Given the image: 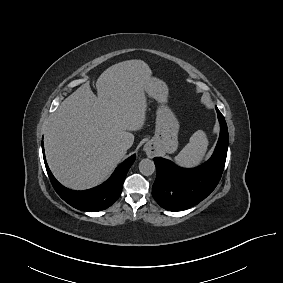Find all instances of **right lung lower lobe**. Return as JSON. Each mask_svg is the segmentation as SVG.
Returning <instances> with one entry per match:
<instances>
[{
    "mask_svg": "<svg viewBox=\"0 0 283 283\" xmlns=\"http://www.w3.org/2000/svg\"><path fill=\"white\" fill-rule=\"evenodd\" d=\"M42 150L44 154V147L42 142ZM44 162L47 169L50 181L58 193V195L72 207L82 211H101L110 207L121 195L122 186L126 177V174L135 161V154L129 157L123 162L112 174V176L104 182L102 185L85 190V191H73L62 186L52 175L45 155Z\"/></svg>",
    "mask_w": 283,
    "mask_h": 283,
    "instance_id": "obj_1",
    "label": "right lung lower lobe"
}]
</instances>
